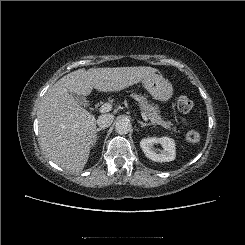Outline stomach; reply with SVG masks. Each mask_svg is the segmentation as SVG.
Returning a JSON list of instances; mask_svg holds the SVG:
<instances>
[{
  "mask_svg": "<svg viewBox=\"0 0 245 245\" xmlns=\"http://www.w3.org/2000/svg\"><path fill=\"white\" fill-rule=\"evenodd\" d=\"M142 84L156 100L167 102L173 96L171 83L161 75L154 74L144 79Z\"/></svg>",
  "mask_w": 245,
  "mask_h": 245,
  "instance_id": "obj_1",
  "label": "stomach"
}]
</instances>
